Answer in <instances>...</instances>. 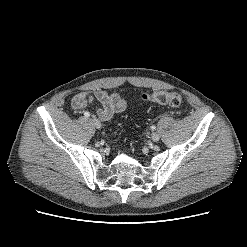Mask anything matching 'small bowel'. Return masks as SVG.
Returning <instances> with one entry per match:
<instances>
[{
    "mask_svg": "<svg viewBox=\"0 0 247 247\" xmlns=\"http://www.w3.org/2000/svg\"><path fill=\"white\" fill-rule=\"evenodd\" d=\"M94 101L100 103V106L96 108L98 117L106 122H111L113 116L124 111L126 107V103L122 97L105 90H97L94 93H78L73 97L71 106L75 110H82L86 106L93 104Z\"/></svg>",
    "mask_w": 247,
    "mask_h": 247,
    "instance_id": "small-bowel-1",
    "label": "small bowel"
}]
</instances>
